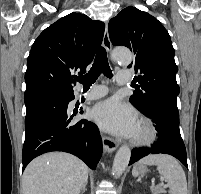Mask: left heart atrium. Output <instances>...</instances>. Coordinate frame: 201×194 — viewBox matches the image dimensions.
Wrapping results in <instances>:
<instances>
[{
    "label": "left heart atrium",
    "mask_w": 201,
    "mask_h": 194,
    "mask_svg": "<svg viewBox=\"0 0 201 194\" xmlns=\"http://www.w3.org/2000/svg\"><path fill=\"white\" fill-rule=\"evenodd\" d=\"M91 115L102 129L116 135L133 137L137 131L134 111L131 107L115 98L95 105Z\"/></svg>",
    "instance_id": "1"
}]
</instances>
